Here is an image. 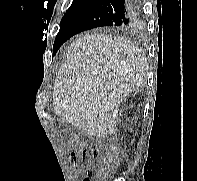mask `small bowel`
Instances as JSON below:
<instances>
[{"label":"small bowel","mask_w":197,"mask_h":181,"mask_svg":"<svg viewBox=\"0 0 197 181\" xmlns=\"http://www.w3.org/2000/svg\"><path fill=\"white\" fill-rule=\"evenodd\" d=\"M85 157H86V153L83 152L82 153V158L85 159ZM72 159L75 160V154L72 155Z\"/></svg>","instance_id":"1"}]
</instances>
